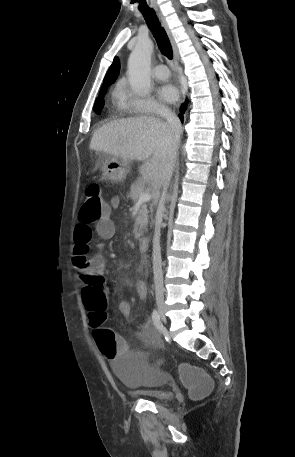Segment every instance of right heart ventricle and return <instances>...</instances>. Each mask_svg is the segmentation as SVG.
I'll use <instances>...</instances> for the list:
<instances>
[{
	"mask_svg": "<svg viewBox=\"0 0 295 457\" xmlns=\"http://www.w3.org/2000/svg\"><path fill=\"white\" fill-rule=\"evenodd\" d=\"M112 103L120 113L125 114L131 110L128 104V95L121 84H118L112 92Z\"/></svg>",
	"mask_w": 295,
	"mask_h": 457,
	"instance_id": "right-heart-ventricle-1",
	"label": "right heart ventricle"
}]
</instances>
